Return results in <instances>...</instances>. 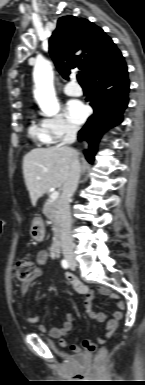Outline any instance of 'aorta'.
I'll list each match as a JSON object with an SVG mask.
<instances>
[{
    "label": "aorta",
    "mask_w": 145,
    "mask_h": 385,
    "mask_svg": "<svg viewBox=\"0 0 145 385\" xmlns=\"http://www.w3.org/2000/svg\"><path fill=\"white\" fill-rule=\"evenodd\" d=\"M34 98L46 116H54L60 110L54 88V74L48 60L38 61L33 71Z\"/></svg>",
    "instance_id": "obj_1"
}]
</instances>
